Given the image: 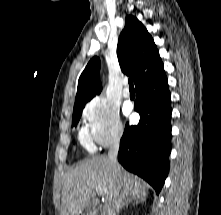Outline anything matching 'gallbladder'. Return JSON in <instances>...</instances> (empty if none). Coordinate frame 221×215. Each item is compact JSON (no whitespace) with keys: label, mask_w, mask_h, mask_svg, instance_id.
<instances>
[{"label":"gallbladder","mask_w":221,"mask_h":215,"mask_svg":"<svg viewBox=\"0 0 221 215\" xmlns=\"http://www.w3.org/2000/svg\"><path fill=\"white\" fill-rule=\"evenodd\" d=\"M92 208H93V203H90L89 206H88V208H87V211H91Z\"/></svg>","instance_id":"gallbladder-1"}]
</instances>
